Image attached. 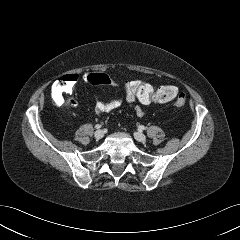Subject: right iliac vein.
<instances>
[{
  "label": "right iliac vein",
  "mask_w": 240,
  "mask_h": 240,
  "mask_svg": "<svg viewBox=\"0 0 240 240\" xmlns=\"http://www.w3.org/2000/svg\"><path fill=\"white\" fill-rule=\"evenodd\" d=\"M103 136H104V131L103 130H97L96 132H95V134H94V137L96 138V139H102L103 138Z\"/></svg>",
  "instance_id": "obj_1"
}]
</instances>
